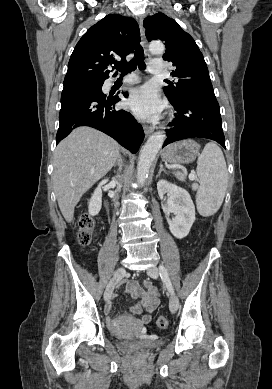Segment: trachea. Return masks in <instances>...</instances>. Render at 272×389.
Instances as JSON below:
<instances>
[{
    "mask_svg": "<svg viewBox=\"0 0 272 389\" xmlns=\"http://www.w3.org/2000/svg\"><path fill=\"white\" fill-rule=\"evenodd\" d=\"M144 50L142 46H137L135 48V57L128 63L118 65L116 66V69L121 73V75H126L128 73H131L135 70V68L138 66L140 70L145 69V62H144Z\"/></svg>",
    "mask_w": 272,
    "mask_h": 389,
    "instance_id": "3493384b",
    "label": "trachea"
}]
</instances>
